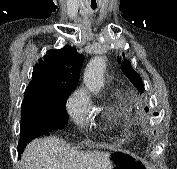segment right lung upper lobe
Instances as JSON below:
<instances>
[{"label": "right lung upper lobe", "mask_w": 177, "mask_h": 169, "mask_svg": "<svg viewBox=\"0 0 177 169\" xmlns=\"http://www.w3.org/2000/svg\"><path fill=\"white\" fill-rule=\"evenodd\" d=\"M83 60L84 57L68 45L49 50L45 61L33 70L24 101L53 102L68 98L79 81Z\"/></svg>", "instance_id": "cb5924a9"}]
</instances>
